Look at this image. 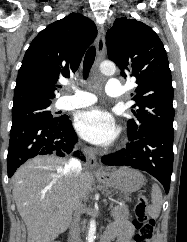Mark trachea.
Wrapping results in <instances>:
<instances>
[{
	"label": "trachea",
	"instance_id": "trachea-1",
	"mask_svg": "<svg viewBox=\"0 0 187 242\" xmlns=\"http://www.w3.org/2000/svg\"><path fill=\"white\" fill-rule=\"evenodd\" d=\"M96 56V50L95 47H90L85 55L84 62H83V77L84 79H87L89 76L90 69L94 63Z\"/></svg>",
	"mask_w": 187,
	"mask_h": 242
}]
</instances>
